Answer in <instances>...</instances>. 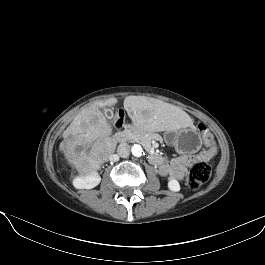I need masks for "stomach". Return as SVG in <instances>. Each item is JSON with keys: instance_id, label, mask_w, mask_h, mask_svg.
<instances>
[{"instance_id": "obj_1", "label": "stomach", "mask_w": 265, "mask_h": 265, "mask_svg": "<svg viewBox=\"0 0 265 265\" xmlns=\"http://www.w3.org/2000/svg\"><path fill=\"white\" fill-rule=\"evenodd\" d=\"M164 140L181 154L196 153L202 144L199 133L192 128L165 131Z\"/></svg>"}]
</instances>
